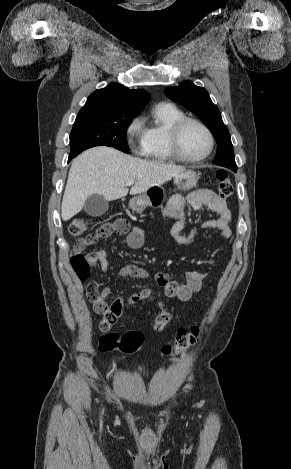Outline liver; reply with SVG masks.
Returning a JSON list of instances; mask_svg holds the SVG:
<instances>
[{
  "instance_id": "liver-1",
  "label": "liver",
  "mask_w": 291,
  "mask_h": 469,
  "mask_svg": "<svg viewBox=\"0 0 291 469\" xmlns=\"http://www.w3.org/2000/svg\"><path fill=\"white\" fill-rule=\"evenodd\" d=\"M183 171L182 166L134 158L106 146L90 148L77 156L70 167L61 205L62 220L78 214L93 194L102 195L108 201L117 200L128 194L127 181H135L130 189V194L135 195Z\"/></svg>"
}]
</instances>
